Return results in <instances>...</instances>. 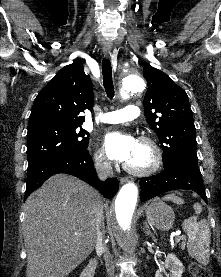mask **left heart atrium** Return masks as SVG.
Masks as SVG:
<instances>
[{
  "mask_svg": "<svg viewBox=\"0 0 221 277\" xmlns=\"http://www.w3.org/2000/svg\"><path fill=\"white\" fill-rule=\"evenodd\" d=\"M137 141L130 135L111 132L106 135L105 144L109 157L120 162H128L133 156Z\"/></svg>",
  "mask_w": 221,
  "mask_h": 277,
  "instance_id": "obj_1",
  "label": "left heart atrium"
}]
</instances>
